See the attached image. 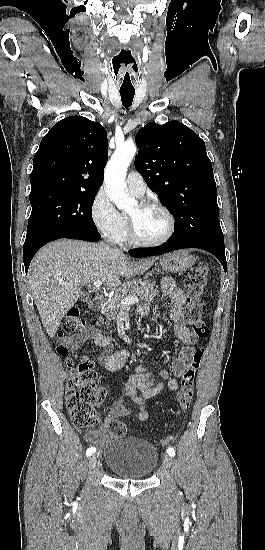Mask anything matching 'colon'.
Masks as SVG:
<instances>
[{
  "mask_svg": "<svg viewBox=\"0 0 265 550\" xmlns=\"http://www.w3.org/2000/svg\"><path fill=\"white\" fill-rule=\"evenodd\" d=\"M209 276L207 264L200 263L185 277L187 292L186 318L195 334L201 338L209 336L210 329L203 320L202 296L206 288ZM86 321L80 316L77 309H71L58 332L59 336L78 334L86 329ZM57 352L67 356L69 351L64 346H58ZM205 349H197L182 376V386L177 394V402L182 411H187L191 406L196 374L201 366ZM71 376L66 386V406L72 423L77 428L92 426L95 419V407L102 402L105 391L97 386V374L94 370V362L87 357L78 361L67 360ZM108 432L112 436L122 437L126 434V425L118 420L109 421Z\"/></svg>",
  "mask_w": 265,
  "mask_h": 550,
  "instance_id": "1",
  "label": "colon"
}]
</instances>
